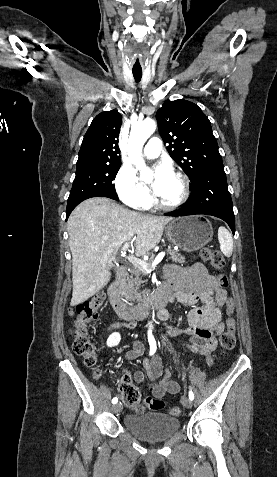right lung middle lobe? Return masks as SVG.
Segmentation results:
<instances>
[{"label": "right lung middle lobe", "instance_id": "right-lung-middle-lobe-1", "mask_svg": "<svg viewBox=\"0 0 277 477\" xmlns=\"http://www.w3.org/2000/svg\"><path fill=\"white\" fill-rule=\"evenodd\" d=\"M120 166L121 164H110L77 168L66 213H70L80 202L91 197L100 196L118 200L112 181Z\"/></svg>", "mask_w": 277, "mask_h": 477}]
</instances>
